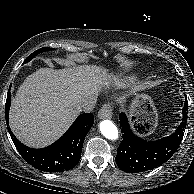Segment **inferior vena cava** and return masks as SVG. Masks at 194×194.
Segmentation results:
<instances>
[{"mask_svg":"<svg viewBox=\"0 0 194 194\" xmlns=\"http://www.w3.org/2000/svg\"><path fill=\"white\" fill-rule=\"evenodd\" d=\"M96 104L95 97H88L79 103V110L83 112H91Z\"/></svg>","mask_w":194,"mask_h":194,"instance_id":"1","label":"inferior vena cava"}]
</instances>
